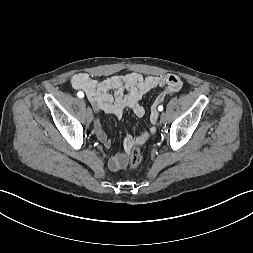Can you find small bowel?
I'll return each instance as SVG.
<instances>
[{
  "label": "small bowel",
  "mask_w": 253,
  "mask_h": 253,
  "mask_svg": "<svg viewBox=\"0 0 253 253\" xmlns=\"http://www.w3.org/2000/svg\"><path fill=\"white\" fill-rule=\"evenodd\" d=\"M75 90L86 93L88 100L96 110L121 118L125 109H130L137 117L145 115V109L140 104L142 97L157 86L163 87L158 95L156 103L161 102L170 93L179 92L183 87L182 80L175 74H163L160 76H143L140 73L130 72L125 75H114L97 81L87 73H77L70 80ZM158 113L153 108L149 115L152 126L140 136L127 135L124 139V153H119L109 160V167L113 171L120 170L126 166L127 154L130 150L147 142L154 134ZM96 136L105 147L111 146L101 121L97 118L94 122Z\"/></svg>",
  "instance_id": "c3829d8e"
}]
</instances>
